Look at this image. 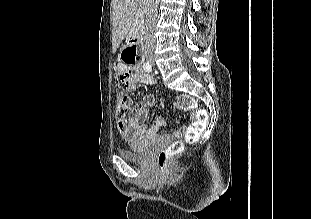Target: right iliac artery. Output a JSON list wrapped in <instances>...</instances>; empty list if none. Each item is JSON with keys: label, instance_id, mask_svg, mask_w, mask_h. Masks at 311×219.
Here are the masks:
<instances>
[{"label": "right iliac artery", "instance_id": "obj_1", "mask_svg": "<svg viewBox=\"0 0 311 219\" xmlns=\"http://www.w3.org/2000/svg\"><path fill=\"white\" fill-rule=\"evenodd\" d=\"M143 68L146 72H151L152 68H151V65L148 63V62H145L143 64Z\"/></svg>", "mask_w": 311, "mask_h": 219}]
</instances>
